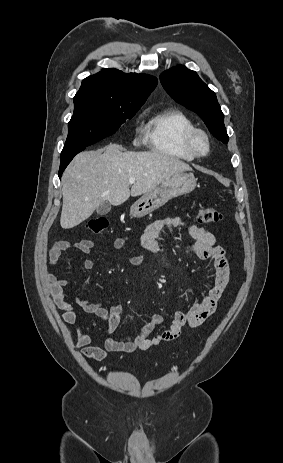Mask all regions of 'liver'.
I'll use <instances>...</instances> for the list:
<instances>
[{
    "label": "liver",
    "mask_w": 283,
    "mask_h": 463,
    "mask_svg": "<svg viewBox=\"0 0 283 463\" xmlns=\"http://www.w3.org/2000/svg\"><path fill=\"white\" fill-rule=\"evenodd\" d=\"M191 170L178 158L159 152H122L118 144L81 152L62 176L60 225L73 228L105 201L121 205L130 195H144L164 180ZM130 178L135 179L131 190Z\"/></svg>",
    "instance_id": "obj_1"
}]
</instances>
